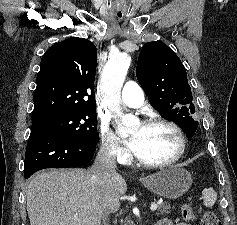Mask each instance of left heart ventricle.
<instances>
[{"label": "left heart ventricle", "mask_w": 237, "mask_h": 225, "mask_svg": "<svg viewBox=\"0 0 237 225\" xmlns=\"http://www.w3.org/2000/svg\"><path fill=\"white\" fill-rule=\"evenodd\" d=\"M132 137L138 140L136 155L146 161L159 162L172 156L178 150V139L174 131L166 126H136Z\"/></svg>", "instance_id": "b2bd125f"}]
</instances>
